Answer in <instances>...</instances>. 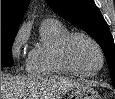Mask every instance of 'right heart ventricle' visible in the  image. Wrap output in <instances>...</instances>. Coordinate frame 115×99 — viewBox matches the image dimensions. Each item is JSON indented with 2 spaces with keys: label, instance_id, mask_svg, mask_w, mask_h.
I'll use <instances>...</instances> for the list:
<instances>
[{
  "label": "right heart ventricle",
  "instance_id": "e07e8e85",
  "mask_svg": "<svg viewBox=\"0 0 115 99\" xmlns=\"http://www.w3.org/2000/svg\"><path fill=\"white\" fill-rule=\"evenodd\" d=\"M40 33V42L29 52L26 63L27 71L37 76L70 73L58 57L60 42L70 33L69 29L57 20H46Z\"/></svg>",
  "mask_w": 115,
  "mask_h": 99
}]
</instances>
